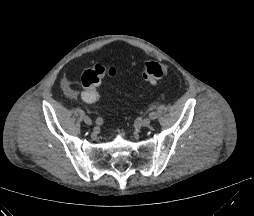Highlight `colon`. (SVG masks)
I'll return each instance as SVG.
<instances>
[{
  "label": "colon",
  "mask_w": 254,
  "mask_h": 216,
  "mask_svg": "<svg viewBox=\"0 0 254 216\" xmlns=\"http://www.w3.org/2000/svg\"><path fill=\"white\" fill-rule=\"evenodd\" d=\"M167 65L157 61H146L144 64L143 78L148 83L155 85L160 79L168 75ZM117 70L115 67L105 68L96 65L93 68L85 70L81 75V85L84 89L83 98L88 102H94L99 98L97 90L99 84L105 76L115 77Z\"/></svg>",
  "instance_id": "obj_1"
}]
</instances>
